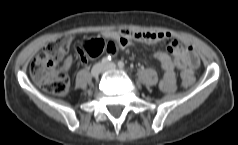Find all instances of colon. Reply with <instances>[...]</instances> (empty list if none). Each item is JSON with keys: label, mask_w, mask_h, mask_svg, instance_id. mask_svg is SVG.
I'll use <instances>...</instances> for the list:
<instances>
[{"label": "colon", "mask_w": 238, "mask_h": 145, "mask_svg": "<svg viewBox=\"0 0 238 145\" xmlns=\"http://www.w3.org/2000/svg\"><path fill=\"white\" fill-rule=\"evenodd\" d=\"M70 38L62 37L52 40L32 60L29 66L30 74L40 84V86L53 94L62 96L69 90L68 75L56 69L57 64L63 59L70 46ZM118 50L117 43L113 40L91 39L82 44L79 52L81 57H97L104 52L115 53ZM183 83L190 85L194 76L187 71L181 74Z\"/></svg>", "instance_id": "obj_1"}]
</instances>
